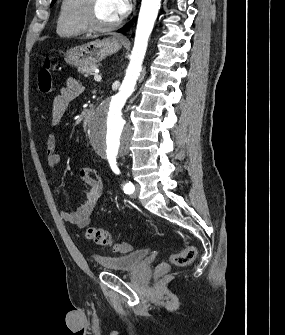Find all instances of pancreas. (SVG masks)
<instances>
[{
	"label": "pancreas",
	"mask_w": 285,
	"mask_h": 335,
	"mask_svg": "<svg viewBox=\"0 0 285 335\" xmlns=\"http://www.w3.org/2000/svg\"><path fill=\"white\" fill-rule=\"evenodd\" d=\"M97 68H99L98 64H90V66H83V68H80L79 72L80 74H83L84 77H90L92 72L97 70Z\"/></svg>",
	"instance_id": "1"
}]
</instances>
